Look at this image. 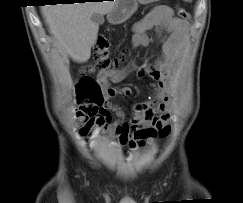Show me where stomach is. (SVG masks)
<instances>
[{
    "label": "stomach",
    "mask_w": 243,
    "mask_h": 203,
    "mask_svg": "<svg viewBox=\"0 0 243 203\" xmlns=\"http://www.w3.org/2000/svg\"><path fill=\"white\" fill-rule=\"evenodd\" d=\"M159 0H116L115 6L107 14L111 24H121L127 21L138 9V4H150Z\"/></svg>",
    "instance_id": "0dacf381"
}]
</instances>
